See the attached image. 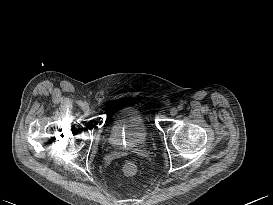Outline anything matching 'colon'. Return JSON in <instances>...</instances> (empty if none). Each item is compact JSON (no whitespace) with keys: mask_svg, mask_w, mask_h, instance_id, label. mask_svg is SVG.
I'll use <instances>...</instances> for the list:
<instances>
[{"mask_svg":"<svg viewBox=\"0 0 273 205\" xmlns=\"http://www.w3.org/2000/svg\"><path fill=\"white\" fill-rule=\"evenodd\" d=\"M137 172V166L133 162H127L123 166V174L127 177L134 176Z\"/></svg>","mask_w":273,"mask_h":205,"instance_id":"obj_1","label":"colon"}]
</instances>
